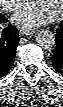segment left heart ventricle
<instances>
[{
	"instance_id": "b2bd125f",
	"label": "left heart ventricle",
	"mask_w": 63,
	"mask_h": 107,
	"mask_svg": "<svg viewBox=\"0 0 63 107\" xmlns=\"http://www.w3.org/2000/svg\"><path fill=\"white\" fill-rule=\"evenodd\" d=\"M36 2L41 4L44 8H46L49 11V13H51L52 15H54L57 12V10L60 6V0L59 1L58 0H55V1H53V0H51V1L38 0Z\"/></svg>"
}]
</instances>
